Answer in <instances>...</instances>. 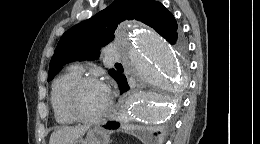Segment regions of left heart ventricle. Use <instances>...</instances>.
<instances>
[{
    "label": "left heart ventricle",
    "instance_id": "1",
    "mask_svg": "<svg viewBox=\"0 0 260 144\" xmlns=\"http://www.w3.org/2000/svg\"><path fill=\"white\" fill-rule=\"evenodd\" d=\"M108 95L100 83L86 84L80 91L76 106L84 116H94L106 106Z\"/></svg>",
    "mask_w": 260,
    "mask_h": 144
}]
</instances>
